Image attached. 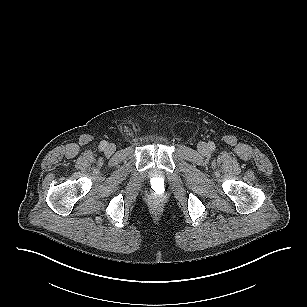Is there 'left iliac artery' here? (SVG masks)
I'll return each mask as SVG.
<instances>
[{
  "label": "left iliac artery",
  "mask_w": 307,
  "mask_h": 307,
  "mask_svg": "<svg viewBox=\"0 0 307 307\" xmlns=\"http://www.w3.org/2000/svg\"><path fill=\"white\" fill-rule=\"evenodd\" d=\"M208 145L211 150H215V144L213 142H209Z\"/></svg>",
  "instance_id": "1"
}]
</instances>
